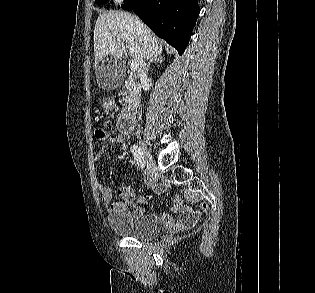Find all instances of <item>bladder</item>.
<instances>
[{
  "label": "bladder",
  "instance_id": "1",
  "mask_svg": "<svg viewBox=\"0 0 315 293\" xmlns=\"http://www.w3.org/2000/svg\"><path fill=\"white\" fill-rule=\"evenodd\" d=\"M107 221L114 233L139 240L155 238L161 232V226L155 218L134 211H112Z\"/></svg>",
  "mask_w": 315,
  "mask_h": 293
}]
</instances>
